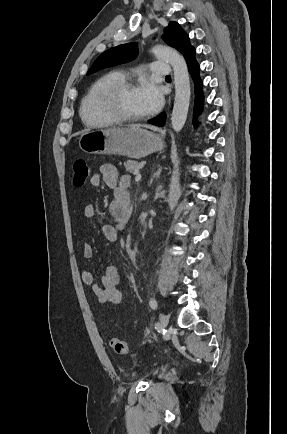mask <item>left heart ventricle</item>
Masks as SVG:
<instances>
[{
    "instance_id": "left-heart-ventricle-1",
    "label": "left heart ventricle",
    "mask_w": 287,
    "mask_h": 434,
    "mask_svg": "<svg viewBox=\"0 0 287 434\" xmlns=\"http://www.w3.org/2000/svg\"><path fill=\"white\" fill-rule=\"evenodd\" d=\"M120 105L122 111L127 115L141 116L146 114L138 99L136 89H129L125 91L121 96Z\"/></svg>"
}]
</instances>
